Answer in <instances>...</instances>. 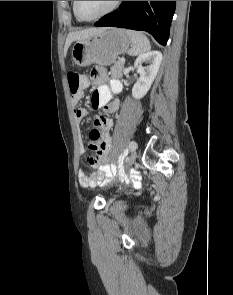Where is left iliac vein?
Returning <instances> with one entry per match:
<instances>
[{"mask_svg":"<svg viewBox=\"0 0 233 295\" xmlns=\"http://www.w3.org/2000/svg\"><path fill=\"white\" fill-rule=\"evenodd\" d=\"M135 144H136V142H135ZM136 146H137V144H136ZM136 156H137L136 151L135 150L132 151L127 159L126 169H129L134 164V162L136 160Z\"/></svg>","mask_w":233,"mask_h":295,"instance_id":"1","label":"left iliac vein"}]
</instances>
